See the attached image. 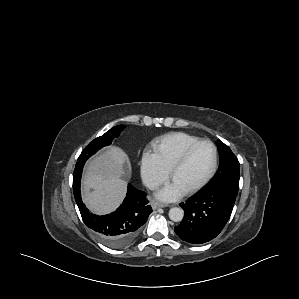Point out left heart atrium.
Returning a JSON list of instances; mask_svg holds the SVG:
<instances>
[{
	"mask_svg": "<svg viewBox=\"0 0 299 299\" xmlns=\"http://www.w3.org/2000/svg\"><path fill=\"white\" fill-rule=\"evenodd\" d=\"M183 190L179 188L175 183L168 185L161 189L157 196L165 201H172L179 198L183 194Z\"/></svg>",
	"mask_w": 299,
	"mask_h": 299,
	"instance_id": "left-heart-atrium-1",
	"label": "left heart atrium"
}]
</instances>
